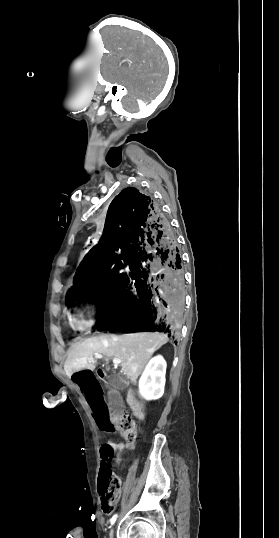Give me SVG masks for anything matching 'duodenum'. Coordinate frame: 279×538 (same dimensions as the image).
I'll use <instances>...</instances> for the list:
<instances>
[{
  "label": "duodenum",
  "mask_w": 279,
  "mask_h": 538,
  "mask_svg": "<svg viewBox=\"0 0 279 538\" xmlns=\"http://www.w3.org/2000/svg\"><path fill=\"white\" fill-rule=\"evenodd\" d=\"M94 377L96 380H102L103 383L109 382L107 368L105 366H98L94 372ZM126 394H129V391H126ZM128 399H132V396H128ZM128 409L132 413H138L136 417H140V414H142V411L138 410V404L133 401H128Z\"/></svg>",
  "instance_id": "obj_1"
}]
</instances>
